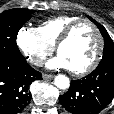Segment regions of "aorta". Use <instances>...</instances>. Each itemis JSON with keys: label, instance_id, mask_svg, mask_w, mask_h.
<instances>
[{"label": "aorta", "instance_id": "aorta-1", "mask_svg": "<svg viewBox=\"0 0 114 114\" xmlns=\"http://www.w3.org/2000/svg\"><path fill=\"white\" fill-rule=\"evenodd\" d=\"M54 84L57 88L65 90L70 86V81L65 75H57Z\"/></svg>", "mask_w": 114, "mask_h": 114}]
</instances>
